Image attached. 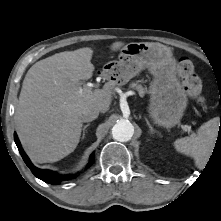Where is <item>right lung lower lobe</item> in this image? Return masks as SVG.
Returning a JSON list of instances; mask_svg holds the SVG:
<instances>
[{
    "label": "right lung lower lobe",
    "mask_w": 221,
    "mask_h": 221,
    "mask_svg": "<svg viewBox=\"0 0 221 221\" xmlns=\"http://www.w3.org/2000/svg\"><path fill=\"white\" fill-rule=\"evenodd\" d=\"M14 140H15L18 150H19L23 160L25 161L26 165L30 168L32 173L37 178L43 180L44 182L50 183V184H58L62 180L73 177L72 175L62 176V175H59V174L49 171V170H42V169L36 168L35 166H33V164L30 162L29 158L27 157V155L23 151L16 133H14ZM93 157H94V154L91 155V158H90L91 161H93Z\"/></svg>",
    "instance_id": "98d812e1"
}]
</instances>
